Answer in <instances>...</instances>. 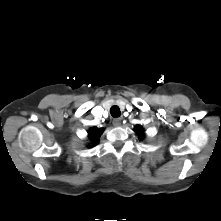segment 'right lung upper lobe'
<instances>
[{"label": "right lung upper lobe", "instance_id": "obj_1", "mask_svg": "<svg viewBox=\"0 0 221 221\" xmlns=\"http://www.w3.org/2000/svg\"><path fill=\"white\" fill-rule=\"evenodd\" d=\"M103 133V129L100 128H92L89 131V139L93 142V143H97L98 142V138L100 137V135Z\"/></svg>", "mask_w": 221, "mask_h": 221}]
</instances>
